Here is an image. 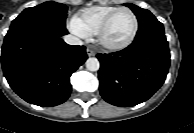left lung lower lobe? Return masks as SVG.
<instances>
[{"label":"left lung lower lobe","instance_id":"left-lung-lower-lobe-1","mask_svg":"<svg viewBox=\"0 0 194 133\" xmlns=\"http://www.w3.org/2000/svg\"><path fill=\"white\" fill-rule=\"evenodd\" d=\"M100 93L110 104L130 107L148 100L164 83L170 65L162 23L139 27L133 43L110 54H98Z\"/></svg>","mask_w":194,"mask_h":133}]
</instances>
